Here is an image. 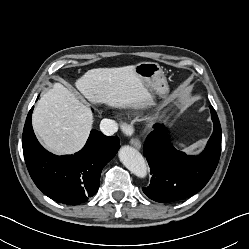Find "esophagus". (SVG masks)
Instances as JSON below:
<instances>
[{
	"mask_svg": "<svg viewBox=\"0 0 249 249\" xmlns=\"http://www.w3.org/2000/svg\"><path fill=\"white\" fill-rule=\"evenodd\" d=\"M130 144L135 147L136 149H140L141 148V142L138 138H132L130 140Z\"/></svg>",
	"mask_w": 249,
	"mask_h": 249,
	"instance_id": "34e87169",
	"label": "esophagus"
}]
</instances>
